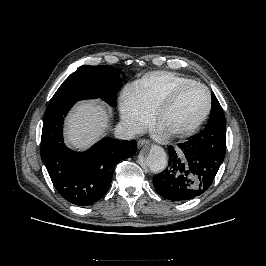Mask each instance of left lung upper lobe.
<instances>
[{
    "label": "left lung upper lobe",
    "instance_id": "left-lung-upper-lobe-1",
    "mask_svg": "<svg viewBox=\"0 0 266 266\" xmlns=\"http://www.w3.org/2000/svg\"><path fill=\"white\" fill-rule=\"evenodd\" d=\"M212 109L207 127L188 141L211 155H225L226 123L223 109L212 92Z\"/></svg>",
    "mask_w": 266,
    "mask_h": 266
}]
</instances>
